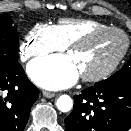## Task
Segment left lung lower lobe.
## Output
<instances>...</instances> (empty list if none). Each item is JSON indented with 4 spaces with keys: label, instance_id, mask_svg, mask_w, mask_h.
<instances>
[{
    "label": "left lung lower lobe",
    "instance_id": "obj_1",
    "mask_svg": "<svg viewBox=\"0 0 131 131\" xmlns=\"http://www.w3.org/2000/svg\"><path fill=\"white\" fill-rule=\"evenodd\" d=\"M67 131H127L131 128V87L93 85L74 96Z\"/></svg>",
    "mask_w": 131,
    "mask_h": 131
}]
</instances>
